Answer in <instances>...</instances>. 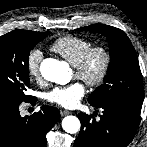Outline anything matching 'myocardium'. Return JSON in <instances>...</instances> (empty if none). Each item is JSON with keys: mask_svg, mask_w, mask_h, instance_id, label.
Here are the masks:
<instances>
[{"mask_svg": "<svg viewBox=\"0 0 147 147\" xmlns=\"http://www.w3.org/2000/svg\"><path fill=\"white\" fill-rule=\"evenodd\" d=\"M96 57H100L101 66L96 75H88V70ZM111 67V53L105 45L98 44L92 45L81 57L78 63L74 66L75 76L78 79L85 81L90 86H99L101 85Z\"/></svg>", "mask_w": 147, "mask_h": 147, "instance_id": "obj_1", "label": "myocardium"}]
</instances>
